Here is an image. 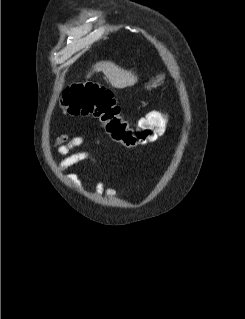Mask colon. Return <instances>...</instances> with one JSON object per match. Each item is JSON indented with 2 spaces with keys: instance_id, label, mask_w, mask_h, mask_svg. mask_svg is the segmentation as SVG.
<instances>
[{
  "instance_id": "obj_1",
  "label": "colon",
  "mask_w": 245,
  "mask_h": 319,
  "mask_svg": "<svg viewBox=\"0 0 245 319\" xmlns=\"http://www.w3.org/2000/svg\"><path fill=\"white\" fill-rule=\"evenodd\" d=\"M61 106L69 115L98 118L106 134L128 148L155 141L167 124L165 114L153 111L140 118L136 127H131L121 116V107L112 92L93 83L69 86L62 94Z\"/></svg>"
}]
</instances>
